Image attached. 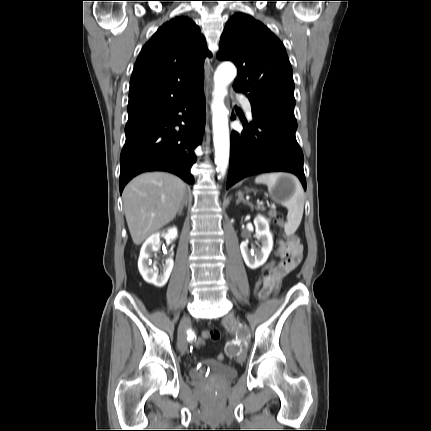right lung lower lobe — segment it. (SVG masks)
<instances>
[{"label": "right lung lower lobe", "instance_id": "right-lung-lower-lobe-1", "mask_svg": "<svg viewBox=\"0 0 431 431\" xmlns=\"http://www.w3.org/2000/svg\"><path fill=\"white\" fill-rule=\"evenodd\" d=\"M204 125L203 86L175 106L129 118L120 155V193L129 180L147 171L171 172L193 184V149L201 143Z\"/></svg>", "mask_w": 431, "mask_h": 431}]
</instances>
